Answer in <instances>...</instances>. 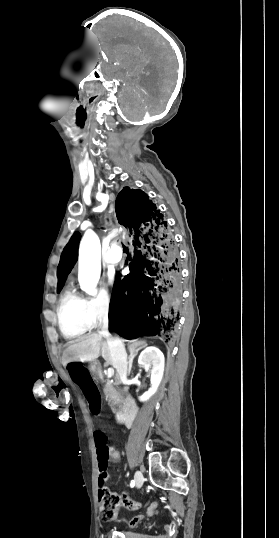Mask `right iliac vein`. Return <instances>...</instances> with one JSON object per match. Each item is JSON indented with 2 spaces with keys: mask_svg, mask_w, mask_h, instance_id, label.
<instances>
[{
  "mask_svg": "<svg viewBox=\"0 0 279 538\" xmlns=\"http://www.w3.org/2000/svg\"><path fill=\"white\" fill-rule=\"evenodd\" d=\"M134 480L137 488H140L143 485V475L140 471L135 473Z\"/></svg>",
  "mask_w": 279,
  "mask_h": 538,
  "instance_id": "63e3f726",
  "label": "right iliac vein"
}]
</instances>
